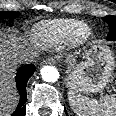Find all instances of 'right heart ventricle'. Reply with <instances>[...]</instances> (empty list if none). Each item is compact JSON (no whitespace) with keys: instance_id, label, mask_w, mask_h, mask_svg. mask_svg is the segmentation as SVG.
Wrapping results in <instances>:
<instances>
[{"instance_id":"e07e8e85","label":"right heart ventricle","mask_w":116,"mask_h":116,"mask_svg":"<svg viewBox=\"0 0 116 116\" xmlns=\"http://www.w3.org/2000/svg\"><path fill=\"white\" fill-rule=\"evenodd\" d=\"M78 23L80 21L73 18L41 22L32 29V41L41 49L53 48L65 40Z\"/></svg>"}]
</instances>
